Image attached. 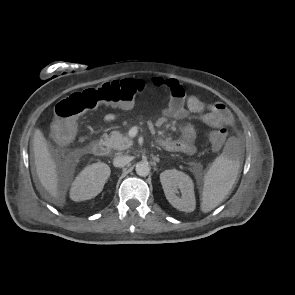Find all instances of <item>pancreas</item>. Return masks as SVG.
Wrapping results in <instances>:
<instances>
[{
    "label": "pancreas",
    "mask_w": 295,
    "mask_h": 295,
    "mask_svg": "<svg viewBox=\"0 0 295 295\" xmlns=\"http://www.w3.org/2000/svg\"><path fill=\"white\" fill-rule=\"evenodd\" d=\"M104 137L108 145L117 151H123L133 145V141L128 136L117 131H113Z\"/></svg>",
    "instance_id": "1"
}]
</instances>
